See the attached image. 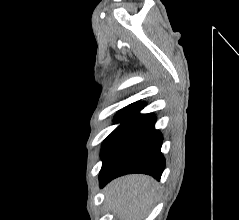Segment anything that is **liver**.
Masks as SVG:
<instances>
[{
    "instance_id": "obj_1",
    "label": "liver",
    "mask_w": 239,
    "mask_h": 220,
    "mask_svg": "<svg viewBox=\"0 0 239 220\" xmlns=\"http://www.w3.org/2000/svg\"><path fill=\"white\" fill-rule=\"evenodd\" d=\"M155 181L145 175H128L106 187V201L120 220H143L155 193Z\"/></svg>"
}]
</instances>
